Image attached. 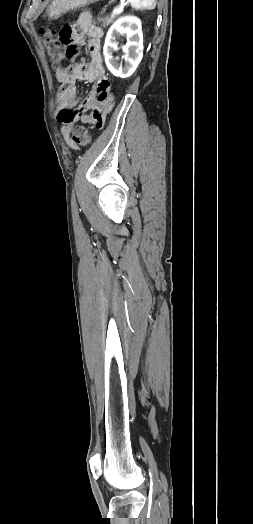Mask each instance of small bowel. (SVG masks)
<instances>
[{
	"label": "small bowel",
	"instance_id": "small-bowel-1",
	"mask_svg": "<svg viewBox=\"0 0 253 524\" xmlns=\"http://www.w3.org/2000/svg\"><path fill=\"white\" fill-rule=\"evenodd\" d=\"M102 37V29L93 24L90 15L81 16L74 24H63L58 32V42L64 44L65 62L78 60L81 54L78 43H86L90 54L89 62L70 64L57 70V78L61 84L57 94L58 120L61 123V135L69 146V135L76 121L93 124L98 128L105 127L108 110H112L117 103L110 81L105 76L101 56ZM85 39H88L87 42ZM78 80L93 84L90 93L80 104L77 97ZM88 110L90 113H86ZM62 111L66 113L65 121L59 119Z\"/></svg>",
	"mask_w": 253,
	"mask_h": 524
}]
</instances>
